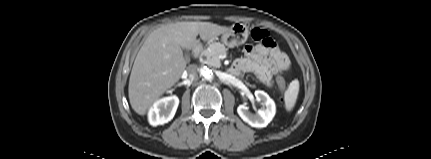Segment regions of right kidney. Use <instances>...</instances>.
I'll use <instances>...</instances> for the list:
<instances>
[{"mask_svg":"<svg viewBox=\"0 0 431 159\" xmlns=\"http://www.w3.org/2000/svg\"><path fill=\"white\" fill-rule=\"evenodd\" d=\"M179 99L177 96L165 97L154 103L149 110L148 120L152 126L163 125L173 119Z\"/></svg>","mask_w":431,"mask_h":159,"instance_id":"ca27d5eb","label":"right kidney"}]
</instances>
